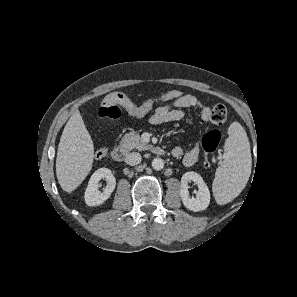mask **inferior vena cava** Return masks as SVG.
<instances>
[{
  "label": "inferior vena cava",
  "instance_id": "obj_1",
  "mask_svg": "<svg viewBox=\"0 0 297 297\" xmlns=\"http://www.w3.org/2000/svg\"><path fill=\"white\" fill-rule=\"evenodd\" d=\"M125 162L130 166L137 165L141 162V155L137 152L129 153L126 156Z\"/></svg>",
  "mask_w": 297,
  "mask_h": 297
}]
</instances>
